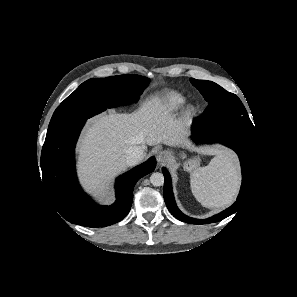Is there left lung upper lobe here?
Listing matches in <instances>:
<instances>
[{"mask_svg":"<svg viewBox=\"0 0 297 297\" xmlns=\"http://www.w3.org/2000/svg\"><path fill=\"white\" fill-rule=\"evenodd\" d=\"M190 82L208 102L203 115L194 121L197 127L201 129L229 127L256 135L255 127L245 107L235 94L211 81L191 78Z\"/></svg>","mask_w":297,"mask_h":297,"instance_id":"left-lung-upper-lobe-1","label":"left lung upper lobe"}]
</instances>
